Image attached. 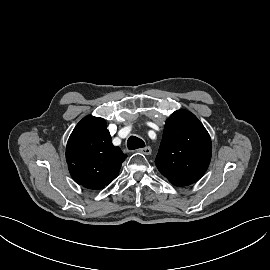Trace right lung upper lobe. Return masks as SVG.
I'll list each match as a JSON object with an SVG mask.
<instances>
[{
  "label": "right lung upper lobe",
  "mask_w": 270,
  "mask_h": 270,
  "mask_svg": "<svg viewBox=\"0 0 270 270\" xmlns=\"http://www.w3.org/2000/svg\"><path fill=\"white\" fill-rule=\"evenodd\" d=\"M126 157L112 144L106 121L92 115L76 125L66 147L72 178L89 189H102L111 183Z\"/></svg>",
  "instance_id": "obj_1"
}]
</instances>
